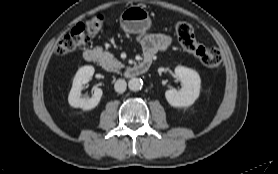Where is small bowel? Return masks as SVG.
<instances>
[{
	"instance_id": "1",
	"label": "small bowel",
	"mask_w": 278,
	"mask_h": 174,
	"mask_svg": "<svg viewBox=\"0 0 278 174\" xmlns=\"http://www.w3.org/2000/svg\"><path fill=\"white\" fill-rule=\"evenodd\" d=\"M144 57H152L160 51H164L170 47L172 38L169 35L161 33L143 34L139 37Z\"/></svg>"
}]
</instances>
